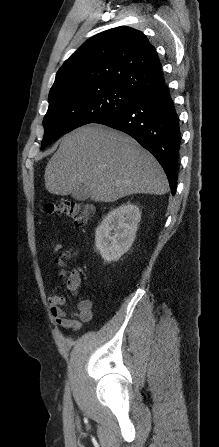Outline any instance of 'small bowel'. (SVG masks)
Masks as SVG:
<instances>
[{
    "instance_id": "small-bowel-1",
    "label": "small bowel",
    "mask_w": 219,
    "mask_h": 447,
    "mask_svg": "<svg viewBox=\"0 0 219 447\" xmlns=\"http://www.w3.org/2000/svg\"><path fill=\"white\" fill-rule=\"evenodd\" d=\"M63 249V245L60 243L55 244L50 251L52 253L59 252ZM80 278L77 275L75 280L67 281L68 290L76 297L79 298L78 311L72 315H69L62 309V305L65 299L61 295H52L49 297L48 302L50 305V312L56 323L68 329H78L81 323L88 322L92 318V302L90 299L83 298L79 294Z\"/></svg>"
}]
</instances>
